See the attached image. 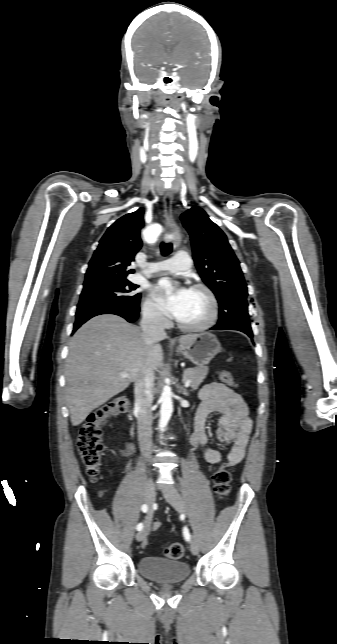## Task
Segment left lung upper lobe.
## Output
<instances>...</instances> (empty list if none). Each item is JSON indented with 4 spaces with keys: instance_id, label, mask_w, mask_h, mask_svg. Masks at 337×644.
I'll return each instance as SVG.
<instances>
[{
    "instance_id": "5c2ea615",
    "label": "left lung upper lobe",
    "mask_w": 337,
    "mask_h": 644,
    "mask_svg": "<svg viewBox=\"0 0 337 644\" xmlns=\"http://www.w3.org/2000/svg\"><path fill=\"white\" fill-rule=\"evenodd\" d=\"M180 218L191 238L196 268L218 300L217 326L253 336L248 314L247 285L226 235L199 207H192Z\"/></svg>"
}]
</instances>
